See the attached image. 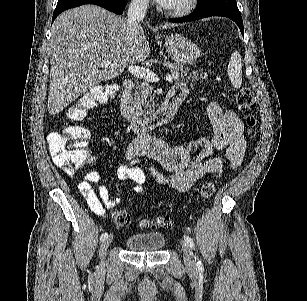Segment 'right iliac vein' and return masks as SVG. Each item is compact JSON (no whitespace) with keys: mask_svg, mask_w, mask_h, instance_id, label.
Segmentation results:
<instances>
[{"mask_svg":"<svg viewBox=\"0 0 307 301\" xmlns=\"http://www.w3.org/2000/svg\"><path fill=\"white\" fill-rule=\"evenodd\" d=\"M113 234H110L101 244L100 251H99V256H100V267L104 268L105 267V255H106V250L113 241Z\"/></svg>","mask_w":307,"mask_h":301,"instance_id":"obj_1","label":"right iliac vein"}]
</instances>
